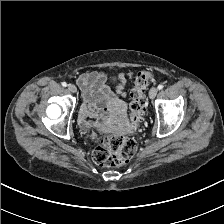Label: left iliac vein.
I'll list each match as a JSON object with an SVG mask.
<instances>
[{"mask_svg":"<svg viewBox=\"0 0 224 224\" xmlns=\"http://www.w3.org/2000/svg\"><path fill=\"white\" fill-rule=\"evenodd\" d=\"M158 93V89L156 87H152L149 91V97L154 99Z\"/></svg>","mask_w":224,"mask_h":224,"instance_id":"obj_1","label":"left iliac vein"}]
</instances>
